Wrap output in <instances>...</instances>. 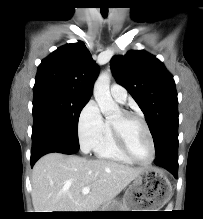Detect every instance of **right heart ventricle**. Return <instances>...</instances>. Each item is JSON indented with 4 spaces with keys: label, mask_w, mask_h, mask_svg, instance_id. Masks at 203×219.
I'll list each match as a JSON object with an SVG mask.
<instances>
[{
    "label": "right heart ventricle",
    "mask_w": 203,
    "mask_h": 219,
    "mask_svg": "<svg viewBox=\"0 0 203 219\" xmlns=\"http://www.w3.org/2000/svg\"><path fill=\"white\" fill-rule=\"evenodd\" d=\"M94 152L100 159H106L125 164L132 163V161L128 159L118 147L110 120L105 121L102 134L95 145Z\"/></svg>",
    "instance_id": "obj_1"
}]
</instances>
